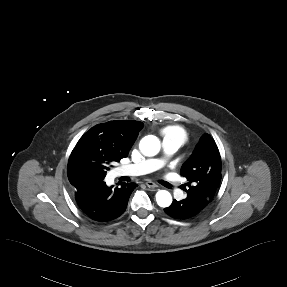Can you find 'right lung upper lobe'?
I'll return each mask as SVG.
<instances>
[{
  "instance_id": "obj_1",
  "label": "right lung upper lobe",
  "mask_w": 287,
  "mask_h": 287,
  "mask_svg": "<svg viewBox=\"0 0 287 287\" xmlns=\"http://www.w3.org/2000/svg\"><path fill=\"white\" fill-rule=\"evenodd\" d=\"M143 123L138 121H109L87 131L75 150L100 151L115 156L119 161L128 156ZM71 184L74 181H70Z\"/></svg>"
}]
</instances>
